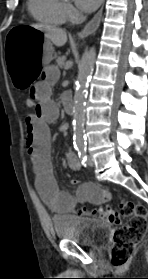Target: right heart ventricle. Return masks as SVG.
Listing matches in <instances>:
<instances>
[{
	"instance_id": "obj_1",
	"label": "right heart ventricle",
	"mask_w": 148,
	"mask_h": 279,
	"mask_svg": "<svg viewBox=\"0 0 148 279\" xmlns=\"http://www.w3.org/2000/svg\"><path fill=\"white\" fill-rule=\"evenodd\" d=\"M27 6L33 18L45 25H62L67 19L62 0H28Z\"/></svg>"
}]
</instances>
